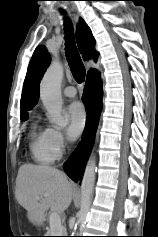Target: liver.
Listing matches in <instances>:
<instances>
[{
	"mask_svg": "<svg viewBox=\"0 0 158 237\" xmlns=\"http://www.w3.org/2000/svg\"><path fill=\"white\" fill-rule=\"evenodd\" d=\"M74 184L60 170L47 165L23 164L16 178L15 196L36 226L45 221V213H63L71 204Z\"/></svg>",
	"mask_w": 158,
	"mask_h": 237,
	"instance_id": "6515ba94",
	"label": "liver"
}]
</instances>
